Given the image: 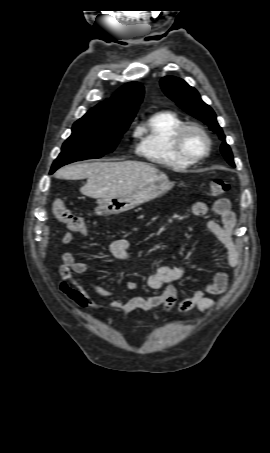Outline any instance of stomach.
Returning a JSON list of instances; mask_svg holds the SVG:
<instances>
[{
	"mask_svg": "<svg viewBox=\"0 0 270 453\" xmlns=\"http://www.w3.org/2000/svg\"><path fill=\"white\" fill-rule=\"evenodd\" d=\"M168 180L157 181L125 196L103 198L98 201L95 213L100 216L117 215L162 196L172 188Z\"/></svg>",
	"mask_w": 270,
	"mask_h": 453,
	"instance_id": "stomach-1",
	"label": "stomach"
}]
</instances>
